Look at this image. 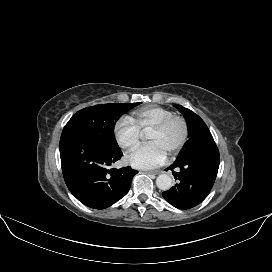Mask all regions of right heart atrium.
Masks as SVG:
<instances>
[{
	"label": "right heart atrium",
	"instance_id": "obj_1",
	"mask_svg": "<svg viewBox=\"0 0 272 272\" xmlns=\"http://www.w3.org/2000/svg\"><path fill=\"white\" fill-rule=\"evenodd\" d=\"M114 136L121 148L132 150L139 144L141 133L129 118H121L115 123Z\"/></svg>",
	"mask_w": 272,
	"mask_h": 272
}]
</instances>
